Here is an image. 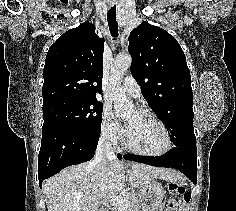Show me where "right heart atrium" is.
Listing matches in <instances>:
<instances>
[{
	"label": "right heart atrium",
	"instance_id": "right-heart-atrium-1",
	"mask_svg": "<svg viewBox=\"0 0 236 211\" xmlns=\"http://www.w3.org/2000/svg\"><path fill=\"white\" fill-rule=\"evenodd\" d=\"M123 135L122 126L115 118L111 108L105 106L101 115L100 122V137L101 139L111 146H117Z\"/></svg>",
	"mask_w": 236,
	"mask_h": 211
}]
</instances>
